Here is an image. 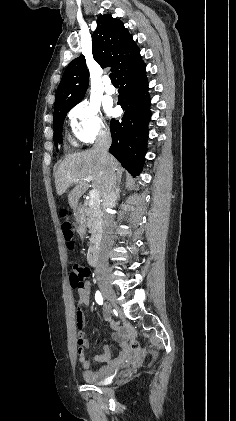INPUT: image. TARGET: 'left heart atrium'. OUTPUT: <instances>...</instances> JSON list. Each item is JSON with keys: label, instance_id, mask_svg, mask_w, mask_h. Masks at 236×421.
<instances>
[{"label": "left heart atrium", "instance_id": "39dd6f15", "mask_svg": "<svg viewBox=\"0 0 236 421\" xmlns=\"http://www.w3.org/2000/svg\"><path fill=\"white\" fill-rule=\"evenodd\" d=\"M107 109H108V111H109L110 113H112L113 115H115V114H116V110H115V109H113V108H111V106H110V105H108V106H107Z\"/></svg>", "mask_w": 236, "mask_h": 421}]
</instances>
